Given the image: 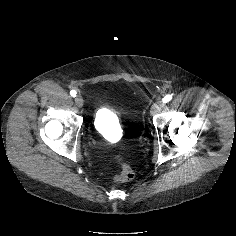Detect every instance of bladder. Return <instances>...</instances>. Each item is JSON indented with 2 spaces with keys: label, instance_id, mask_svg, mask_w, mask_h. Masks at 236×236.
Segmentation results:
<instances>
[{
  "label": "bladder",
  "instance_id": "1",
  "mask_svg": "<svg viewBox=\"0 0 236 236\" xmlns=\"http://www.w3.org/2000/svg\"><path fill=\"white\" fill-rule=\"evenodd\" d=\"M95 131L104 138H114L120 132V122L115 112L107 106L100 107L94 116Z\"/></svg>",
  "mask_w": 236,
  "mask_h": 236
}]
</instances>
